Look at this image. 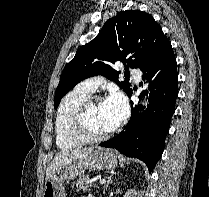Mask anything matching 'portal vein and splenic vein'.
<instances>
[{"mask_svg":"<svg viewBox=\"0 0 209 197\" xmlns=\"http://www.w3.org/2000/svg\"><path fill=\"white\" fill-rule=\"evenodd\" d=\"M99 183L100 184H105L106 183V180L105 179H102V180L99 181Z\"/></svg>","mask_w":209,"mask_h":197,"instance_id":"18ae733b","label":"portal vein and splenic vein"}]
</instances>
